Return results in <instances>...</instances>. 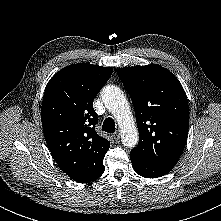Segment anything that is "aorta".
Wrapping results in <instances>:
<instances>
[{"instance_id": "obj_1", "label": "aorta", "mask_w": 221, "mask_h": 221, "mask_svg": "<svg viewBox=\"0 0 221 221\" xmlns=\"http://www.w3.org/2000/svg\"><path fill=\"white\" fill-rule=\"evenodd\" d=\"M101 98L118 123L123 145L135 147L139 140L138 129L123 91L115 85H107L101 91Z\"/></svg>"}]
</instances>
